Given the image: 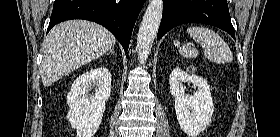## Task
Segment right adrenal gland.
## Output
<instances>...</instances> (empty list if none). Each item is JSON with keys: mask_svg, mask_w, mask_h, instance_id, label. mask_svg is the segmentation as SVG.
<instances>
[{"mask_svg": "<svg viewBox=\"0 0 280 137\" xmlns=\"http://www.w3.org/2000/svg\"><path fill=\"white\" fill-rule=\"evenodd\" d=\"M109 53H112V54L115 55L114 49L112 48V49L109 51Z\"/></svg>", "mask_w": 280, "mask_h": 137, "instance_id": "1", "label": "right adrenal gland"}]
</instances>
